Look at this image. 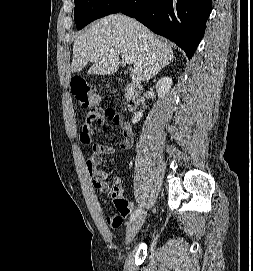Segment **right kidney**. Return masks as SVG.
Wrapping results in <instances>:
<instances>
[{"instance_id": "1", "label": "right kidney", "mask_w": 253, "mask_h": 271, "mask_svg": "<svg viewBox=\"0 0 253 271\" xmlns=\"http://www.w3.org/2000/svg\"><path fill=\"white\" fill-rule=\"evenodd\" d=\"M172 85V79L170 77H163L156 83V91L158 93V97L164 99V97L169 93ZM142 112H136L132 118V123L136 124L142 118Z\"/></svg>"}]
</instances>
